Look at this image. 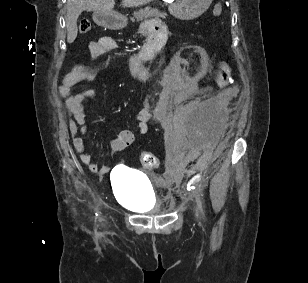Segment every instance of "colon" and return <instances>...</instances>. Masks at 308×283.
<instances>
[{"label":"colon","instance_id":"obj_1","mask_svg":"<svg viewBox=\"0 0 308 283\" xmlns=\"http://www.w3.org/2000/svg\"><path fill=\"white\" fill-rule=\"evenodd\" d=\"M223 11L221 3H217L213 8V14L220 16ZM91 29V24L88 20H82L79 24L81 33H88ZM231 76V67L227 62H223L216 75V83L219 87H224L228 84ZM140 162L145 169H155L159 166V159L150 152H143L140 156Z\"/></svg>","mask_w":308,"mask_h":283}]
</instances>
